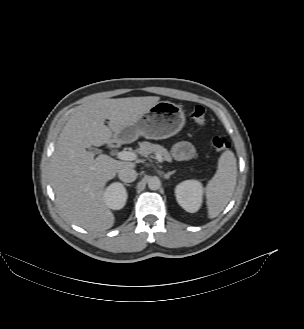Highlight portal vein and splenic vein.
<instances>
[{
	"label": "portal vein and splenic vein",
	"instance_id": "portal-vein-and-splenic-vein-1",
	"mask_svg": "<svg viewBox=\"0 0 304 329\" xmlns=\"http://www.w3.org/2000/svg\"><path fill=\"white\" fill-rule=\"evenodd\" d=\"M117 157L125 161H134L137 159V154L133 151H120L117 153ZM155 157L159 162H163V158L160 154H156Z\"/></svg>",
	"mask_w": 304,
	"mask_h": 329
}]
</instances>
